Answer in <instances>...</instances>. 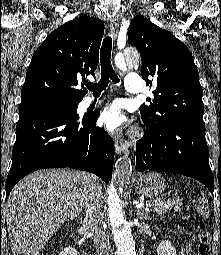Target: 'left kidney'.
I'll return each instance as SVG.
<instances>
[{
  "label": "left kidney",
  "mask_w": 221,
  "mask_h": 255,
  "mask_svg": "<svg viewBox=\"0 0 221 255\" xmlns=\"http://www.w3.org/2000/svg\"><path fill=\"white\" fill-rule=\"evenodd\" d=\"M157 255H177L176 248L168 240H163L157 247Z\"/></svg>",
  "instance_id": "obj_1"
}]
</instances>
